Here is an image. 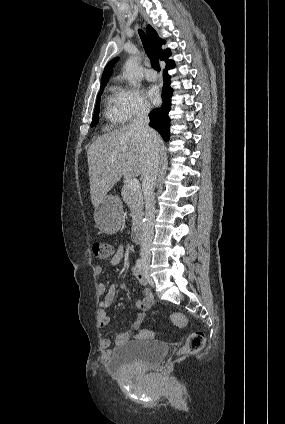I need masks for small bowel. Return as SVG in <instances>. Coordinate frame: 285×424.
Returning a JSON list of instances; mask_svg holds the SVG:
<instances>
[{"label": "small bowel", "instance_id": "c3829d8e", "mask_svg": "<svg viewBox=\"0 0 285 424\" xmlns=\"http://www.w3.org/2000/svg\"><path fill=\"white\" fill-rule=\"evenodd\" d=\"M124 251V246L121 244L118 245V247L110 257L109 263L111 265H117L118 263H120L124 256ZM102 272L103 269L101 266L95 267V273L97 275H101ZM132 272L135 278L140 283V285L143 287L144 297L135 303V308L137 309L138 314L131 325V329L128 332L120 333L115 336L114 344L116 347L122 345L123 343H125L126 340L130 338H142L143 332L140 331V328L144 321V313L145 311L150 309L154 304V300L150 292L146 288L147 281L142 271L135 265L132 268ZM96 289L97 293L100 296H104V298L100 302V307L102 311L100 312L99 327L105 328L110 324V317L106 314L104 309L109 307L115 301L118 293V288L115 284H111L109 289H107L104 283H99ZM110 345L111 342L109 339H103L102 347L106 356H109L111 354Z\"/></svg>", "mask_w": 285, "mask_h": 424}]
</instances>
